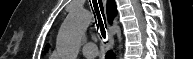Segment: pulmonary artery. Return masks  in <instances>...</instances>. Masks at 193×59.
I'll use <instances>...</instances> for the list:
<instances>
[{
  "label": "pulmonary artery",
  "mask_w": 193,
  "mask_h": 59,
  "mask_svg": "<svg viewBox=\"0 0 193 59\" xmlns=\"http://www.w3.org/2000/svg\"><path fill=\"white\" fill-rule=\"evenodd\" d=\"M98 53L95 43H86L83 48V54L86 58H94Z\"/></svg>",
  "instance_id": "pulmonary-artery-1"
}]
</instances>
